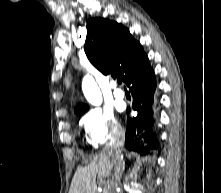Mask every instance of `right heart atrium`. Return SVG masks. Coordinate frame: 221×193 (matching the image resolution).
<instances>
[{"label": "right heart atrium", "mask_w": 221, "mask_h": 193, "mask_svg": "<svg viewBox=\"0 0 221 193\" xmlns=\"http://www.w3.org/2000/svg\"><path fill=\"white\" fill-rule=\"evenodd\" d=\"M89 141L97 147L105 146L121 138L124 128L112 111L94 108L82 118Z\"/></svg>", "instance_id": "right-heart-atrium-1"}]
</instances>
